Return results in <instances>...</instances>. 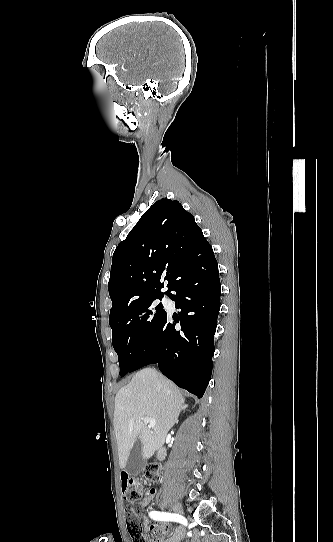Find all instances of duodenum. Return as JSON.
Listing matches in <instances>:
<instances>
[{
  "label": "duodenum",
  "instance_id": "1",
  "mask_svg": "<svg viewBox=\"0 0 333 542\" xmlns=\"http://www.w3.org/2000/svg\"><path fill=\"white\" fill-rule=\"evenodd\" d=\"M156 457L158 459V461H161L164 459L165 457V450L164 448L160 447L158 448L157 452H156Z\"/></svg>",
  "mask_w": 333,
  "mask_h": 542
}]
</instances>
